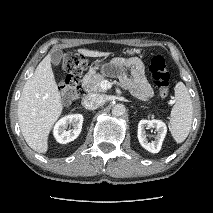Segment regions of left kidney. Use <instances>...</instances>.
<instances>
[{
    "mask_svg": "<svg viewBox=\"0 0 213 213\" xmlns=\"http://www.w3.org/2000/svg\"><path fill=\"white\" fill-rule=\"evenodd\" d=\"M156 128L157 135L154 141L148 142L146 139V129ZM167 127L161 120H141L138 124V140L143 148L151 153H158L165 138Z\"/></svg>",
    "mask_w": 213,
    "mask_h": 213,
    "instance_id": "1",
    "label": "left kidney"
}]
</instances>
